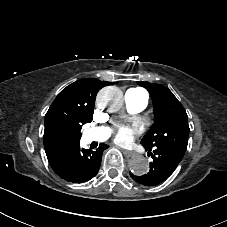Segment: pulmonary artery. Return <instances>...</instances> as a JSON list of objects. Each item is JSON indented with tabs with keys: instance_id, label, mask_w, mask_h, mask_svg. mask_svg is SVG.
<instances>
[{
	"instance_id": "1",
	"label": "pulmonary artery",
	"mask_w": 227,
	"mask_h": 227,
	"mask_svg": "<svg viewBox=\"0 0 227 227\" xmlns=\"http://www.w3.org/2000/svg\"><path fill=\"white\" fill-rule=\"evenodd\" d=\"M150 97L149 90L144 86L132 88L124 95L126 106L133 111H141L146 108ZM110 129L107 126H95L84 133V138L88 142H103L108 139Z\"/></svg>"
}]
</instances>
